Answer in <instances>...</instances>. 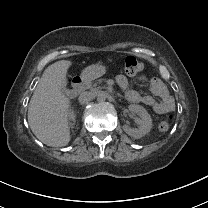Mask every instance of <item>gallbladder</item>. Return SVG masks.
I'll return each mask as SVG.
<instances>
[{
	"instance_id": "obj_1",
	"label": "gallbladder",
	"mask_w": 208,
	"mask_h": 208,
	"mask_svg": "<svg viewBox=\"0 0 208 208\" xmlns=\"http://www.w3.org/2000/svg\"><path fill=\"white\" fill-rule=\"evenodd\" d=\"M59 93H60L61 96L66 97V96L69 95L70 90H69L68 87L63 86V87L60 88Z\"/></svg>"
}]
</instances>
